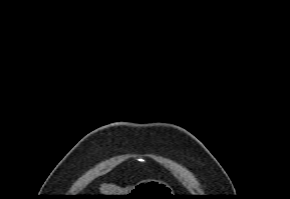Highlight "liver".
I'll use <instances>...</instances> for the list:
<instances>
[{
  "label": "liver",
  "mask_w": 290,
  "mask_h": 199,
  "mask_svg": "<svg viewBox=\"0 0 290 199\" xmlns=\"http://www.w3.org/2000/svg\"><path fill=\"white\" fill-rule=\"evenodd\" d=\"M100 189L102 193H121V191L113 185L103 184Z\"/></svg>",
  "instance_id": "liver-1"
}]
</instances>
